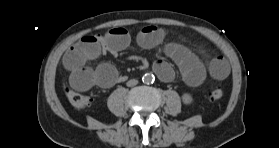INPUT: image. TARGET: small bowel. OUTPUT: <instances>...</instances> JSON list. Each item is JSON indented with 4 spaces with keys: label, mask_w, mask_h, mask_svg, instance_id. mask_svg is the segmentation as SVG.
<instances>
[{
    "label": "small bowel",
    "mask_w": 279,
    "mask_h": 148,
    "mask_svg": "<svg viewBox=\"0 0 279 148\" xmlns=\"http://www.w3.org/2000/svg\"><path fill=\"white\" fill-rule=\"evenodd\" d=\"M165 33L163 29L154 25L143 27L137 42L144 49H159L166 57L178 66L183 80L189 86L201 85L209 75L215 80H223L229 74V66L221 56L211 58L208 66L183 45L177 43L163 44ZM129 32L122 27H114L104 35H87L72 45L63 57V64L70 72V84L79 91H86L94 86L103 89L112 88L120 81L115 67L109 63H102L92 69L87 63L97 59L102 54L117 55L130 44ZM154 71L166 82L173 80L174 72L164 59L154 63Z\"/></svg>",
    "instance_id": "small-bowel-1"
}]
</instances>
